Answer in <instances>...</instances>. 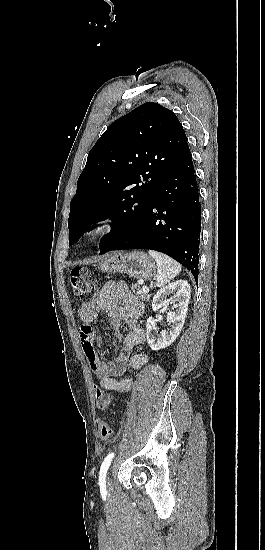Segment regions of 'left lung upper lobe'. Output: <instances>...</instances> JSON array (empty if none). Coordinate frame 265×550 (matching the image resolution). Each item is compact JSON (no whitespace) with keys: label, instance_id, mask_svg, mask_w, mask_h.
Returning a JSON list of instances; mask_svg holds the SVG:
<instances>
[{"label":"left lung upper lobe","instance_id":"obj_1","mask_svg":"<svg viewBox=\"0 0 265 550\" xmlns=\"http://www.w3.org/2000/svg\"><path fill=\"white\" fill-rule=\"evenodd\" d=\"M176 115L153 102L114 121L90 150L70 204L69 245L94 222L115 227L100 247L123 237L143 216L164 179L188 149Z\"/></svg>","mask_w":265,"mask_h":550}]
</instances>
